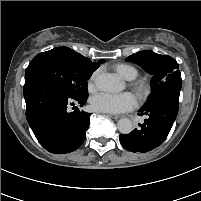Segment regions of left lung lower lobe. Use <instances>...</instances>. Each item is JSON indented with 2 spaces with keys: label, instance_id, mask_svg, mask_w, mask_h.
<instances>
[{
  "label": "left lung lower lobe",
  "instance_id": "obj_1",
  "mask_svg": "<svg viewBox=\"0 0 201 201\" xmlns=\"http://www.w3.org/2000/svg\"><path fill=\"white\" fill-rule=\"evenodd\" d=\"M179 108V96L166 94L140 109L146 115L142 125L120 135L122 146L131 152L146 153L158 147L168 136Z\"/></svg>",
  "mask_w": 201,
  "mask_h": 201
}]
</instances>
